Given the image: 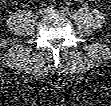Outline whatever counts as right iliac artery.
<instances>
[{"instance_id": "obj_1", "label": "right iliac artery", "mask_w": 111, "mask_h": 106, "mask_svg": "<svg viewBox=\"0 0 111 106\" xmlns=\"http://www.w3.org/2000/svg\"><path fill=\"white\" fill-rule=\"evenodd\" d=\"M48 11H53L55 7L53 5H48L46 8Z\"/></svg>"}]
</instances>
